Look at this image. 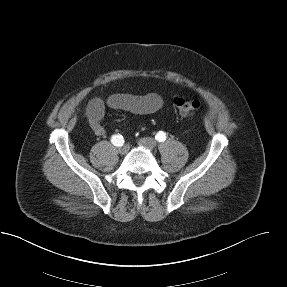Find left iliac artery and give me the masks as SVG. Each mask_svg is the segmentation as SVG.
I'll return each instance as SVG.
<instances>
[{"label": "left iliac artery", "instance_id": "left-iliac-artery-1", "mask_svg": "<svg viewBox=\"0 0 287 287\" xmlns=\"http://www.w3.org/2000/svg\"><path fill=\"white\" fill-rule=\"evenodd\" d=\"M166 138H167L166 133H164L163 131H159L155 136V139L159 142H164Z\"/></svg>", "mask_w": 287, "mask_h": 287}]
</instances>
